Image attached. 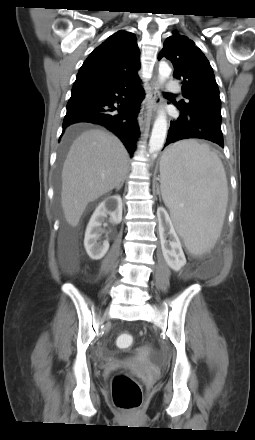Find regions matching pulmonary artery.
<instances>
[{
	"instance_id": "pulmonary-artery-1",
	"label": "pulmonary artery",
	"mask_w": 255,
	"mask_h": 440,
	"mask_svg": "<svg viewBox=\"0 0 255 440\" xmlns=\"http://www.w3.org/2000/svg\"><path fill=\"white\" fill-rule=\"evenodd\" d=\"M167 89L169 92L179 93L181 88L178 83L170 81L167 85Z\"/></svg>"
}]
</instances>
